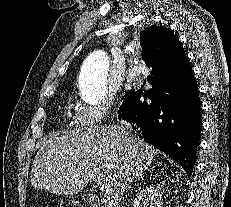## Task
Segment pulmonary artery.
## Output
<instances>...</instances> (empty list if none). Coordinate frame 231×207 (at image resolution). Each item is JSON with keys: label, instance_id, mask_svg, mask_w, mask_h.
<instances>
[{"label": "pulmonary artery", "instance_id": "pulmonary-artery-1", "mask_svg": "<svg viewBox=\"0 0 231 207\" xmlns=\"http://www.w3.org/2000/svg\"><path fill=\"white\" fill-rule=\"evenodd\" d=\"M139 74L137 73V71H131L130 73H129V77L130 78H134V77H137Z\"/></svg>", "mask_w": 231, "mask_h": 207}]
</instances>
